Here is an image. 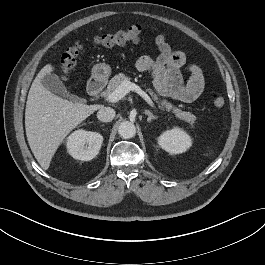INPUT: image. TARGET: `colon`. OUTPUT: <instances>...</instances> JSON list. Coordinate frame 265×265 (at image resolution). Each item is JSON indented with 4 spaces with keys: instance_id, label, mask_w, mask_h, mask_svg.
Listing matches in <instances>:
<instances>
[{
    "instance_id": "obj_1",
    "label": "colon",
    "mask_w": 265,
    "mask_h": 265,
    "mask_svg": "<svg viewBox=\"0 0 265 265\" xmlns=\"http://www.w3.org/2000/svg\"><path fill=\"white\" fill-rule=\"evenodd\" d=\"M142 30L138 26H132L126 31L115 33H104L93 37L92 43L102 47H117L123 46L130 42H136L141 36ZM83 47L82 42H78L69 47L62 55V67L64 70L72 69L77 61V57ZM211 101L214 107L220 108L225 103L224 93L217 89L212 93Z\"/></svg>"
}]
</instances>
